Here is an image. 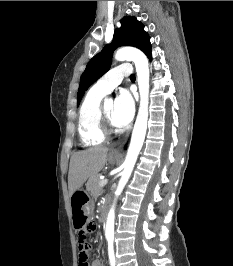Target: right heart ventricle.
Returning <instances> with one entry per match:
<instances>
[{
	"label": "right heart ventricle",
	"mask_w": 233,
	"mask_h": 266,
	"mask_svg": "<svg viewBox=\"0 0 233 266\" xmlns=\"http://www.w3.org/2000/svg\"><path fill=\"white\" fill-rule=\"evenodd\" d=\"M106 93L98 90L95 86L86 93L78 117V133L84 146H97L105 141L99 127L98 111Z\"/></svg>",
	"instance_id": "e07e8e85"
}]
</instances>
